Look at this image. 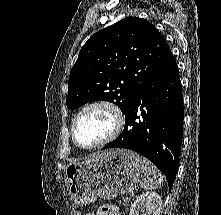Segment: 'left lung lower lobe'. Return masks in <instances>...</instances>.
<instances>
[{
    "label": "left lung lower lobe",
    "mask_w": 221,
    "mask_h": 215,
    "mask_svg": "<svg viewBox=\"0 0 221 215\" xmlns=\"http://www.w3.org/2000/svg\"><path fill=\"white\" fill-rule=\"evenodd\" d=\"M182 112L179 70L170 52L131 101L121 135L102 149L119 147L140 153L166 175L171 188L179 165Z\"/></svg>",
    "instance_id": "obj_1"
}]
</instances>
